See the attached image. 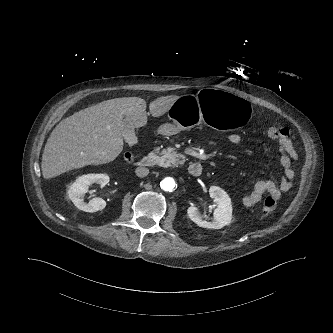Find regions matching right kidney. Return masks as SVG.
I'll list each match as a JSON object with an SVG mask.
<instances>
[{
    "label": "right kidney",
    "mask_w": 333,
    "mask_h": 333,
    "mask_svg": "<svg viewBox=\"0 0 333 333\" xmlns=\"http://www.w3.org/2000/svg\"><path fill=\"white\" fill-rule=\"evenodd\" d=\"M109 182L107 174H87L78 177L75 182L70 186L68 195L74 205L85 212H96L102 210L106 206L105 200L96 197L88 203L84 202L85 193L88 192L89 186L99 184L101 187Z\"/></svg>",
    "instance_id": "ca27d5eb"
}]
</instances>
